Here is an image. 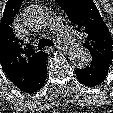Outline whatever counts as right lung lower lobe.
<instances>
[{
    "label": "right lung lower lobe",
    "mask_w": 113,
    "mask_h": 113,
    "mask_svg": "<svg viewBox=\"0 0 113 113\" xmlns=\"http://www.w3.org/2000/svg\"><path fill=\"white\" fill-rule=\"evenodd\" d=\"M47 77V67L46 62L44 66L42 67L41 71L38 73L36 79L30 83L27 87L22 89L21 91L26 93H33L41 89V87L44 85V82Z\"/></svg>",
    "instance_id": "right-lung-lower-lobe-1"
}]
</instances>
